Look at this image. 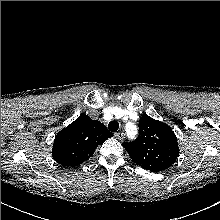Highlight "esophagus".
<instances>
[{
  "instance_id": "esophagus-1",
  "label": "esophagus",
  "mask_w": 220,
  "mask_h": 220,
  "mask_svg": "<svg viewBox=\"0 0 220 220\" xmlns=\"http://www.w3.org/2000/svg\"><path fill=\"white\" fill-rule=\"evenodd\" d=\"M114 136L119 140H123L125 138V134L122 131L114 133Z\"/></svg>"
}]
</instances>
